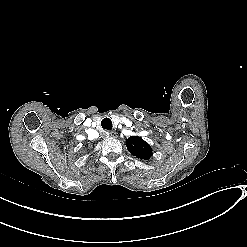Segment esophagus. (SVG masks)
I'll list each match as a JSON object with an SVG mask.
<instances>
[{
	"label": "esophagus",
	"instance_id": "34e87169",
	"mask_svg": "<svg viewBox=\"0 0 247 247\" xmlns=\"http://www.w3.org/2000/svg\"><path fill=\"white\" fill-rule=\"evenodd\" d=\"M109 134H110V136H111V137H113V138H117V134H116V132L111 131Z\"/></svg>",
	"mask_w": 247,
	"mask_h": 247
}]
</instances>
